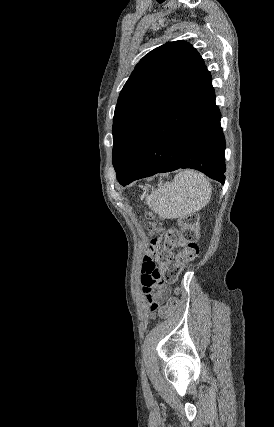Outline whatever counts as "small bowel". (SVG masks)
Returning a JSON list of instances; mask_svg holds the SVG:
<instances>
[{"instance_id":"obj_1","label":"small bowel","mask_w":274,"mask_h":427,"mask_svg":"<svg viewBox=\"0 0 274 427\" xmlns=\"http://www.w3.org/2000/svg\"><path fill=\"white\" fill-rule=\"evenodd\" d=\"M162 253L165 256L168 255L169 257H173L175 256L176 251L163 250ZM152 254L155 257H158L161 254V251L158 248H155L152 251ZM152 260L151 253L145 254L143 264L140 267L142 272L141 290L150 312L155 311V306L165 300L168 294V287L166 284H172L174 282V278L179 276L178 269L182 266L178 261H166L164 264L165 269H161L159 264H147ZM149 273H155L156 276L161 279L152 278L150 280Z\"/></svg>"}]
</instances>
